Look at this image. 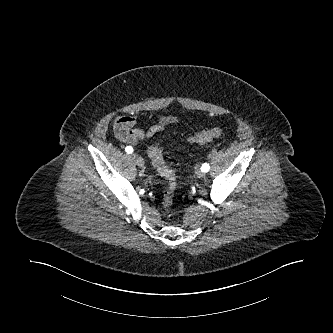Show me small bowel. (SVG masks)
Here are the masks:
<instances>
[{
    "label": "small bowel",
    "instance_id": "obj_1",
    "mask_svg": "<svg viewBox=\"0 0 333 333\" xmlns=\"http://www.w3.org/2000/svg\"><path fill=\"white\" fill-rule=\"evenodd\" d=\"M177 119L173 116H163L154 121L151 126L142 131L133 128L137 123V117L134 115H123L116 118L113 123V132L117 140L124 144H136L147 138H151L157 132L162 131L168 125L176 123Z\"/></svg>",
    "mask_w": 333,
    "mask_h": 333
}]
</instances>
